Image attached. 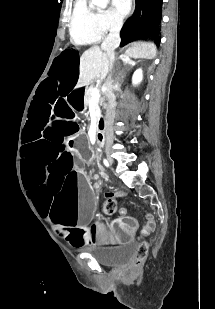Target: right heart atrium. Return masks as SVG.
I'll return each instance as SVG.
<instances>
[{"label": "right heart atrium", "mask_w": 215, "mask_h": 309, "mask_svg": "<svg viewBox=\"0 0 215 309\" xmlns=\"http://www.w3.org/2000/svg\"><path fill=\"white\" fill-rule=\"evenodd\" d=\"M97 20L101 29H108L113 32L119 30L122 24V21L110 11H103L102 14H98Z\"/></svg>", "instance_id": "right-heart-atrium-1"}]
</instances>
